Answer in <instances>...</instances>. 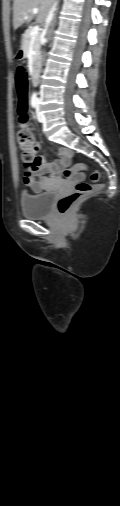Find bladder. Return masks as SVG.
Listing matches in <instances>:
<instances>
[{
  "label": "bladder",
  "instance_id": "bladder-1",
  "mask_svg": "<svg viewBox=\"0 0 120 506\" xmlns=\"http://www.w3.org/2000/svg\"><path fill=\"white\" fill-rule=\"evenodd\" d=\"M55 195L54 190L38 194L23 192L19 197L23 216L29 219L46 218L50 213Z\"/></svg>",
  "mask_w": 120,
  "mask_h": 506
}]
</instances>
